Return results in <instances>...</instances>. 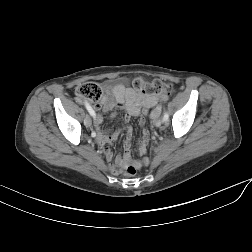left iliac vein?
I'll use <instances>...</instances> for the list:
<instances>
[{
    "mask_svg": "<svg viewBox=\"0 0 252 252\" xmlns=\"http://www.w3.org/2000/svg\"><path fill=\"white\" fill-rule=\"evenodd\" d=\"M159 111H160V110H159ZM159 111L155 113V117H154V119H153V124H154L156 127H159V126H161V124H162V120L156 116V115L159 113Z\"/></svg>",
    "mask_w": 252,
    "mask_h": 252,
    "instance_id": "left-iliac-vein-1",
    "label": "left iliac vein"
}]
</instances>
